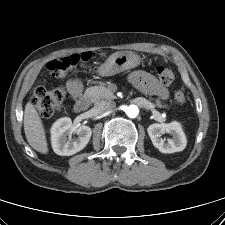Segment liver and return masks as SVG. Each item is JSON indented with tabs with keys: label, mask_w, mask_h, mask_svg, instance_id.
I'll use <instances>...</instances> for the list:
<instances>
[{
	"label": "liver",
	"mask_w": 225,
	"mask_h": 225,
	"mask_svg": "<svg viewBox=\"0 0 225 225\" xmlns=\"http://www.w3.org/2000/svg\"><path fill=\"white\" fill-rule=\"evenodd\" d=\"M24 131L28 143L34 150L43 154L48 153L44 127L37 110L31 102L26 104L24 110Z\"/></svg>",
	"instance_id": "obj_1"
}]
</instances>
